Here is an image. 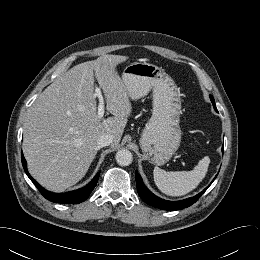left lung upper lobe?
<instances>
[{
  "label": "left lung upper lobe",
  "instance_id": "1",
  "mask_svg": "<svg viewBox=\"0 0 260 260\" xmlns=\"http://www.w3.org/2000/svg\"><path fill=\"white\" fill-rule=\"evenodd\" d=\"M210 99H211V101H212V103H213V107H214V109L217 111L216 106H215L214 98H213L212 96H210Z\"/></svg>",
  "mask_w": 260,
  "mask_h": 260
}]
</instances>
